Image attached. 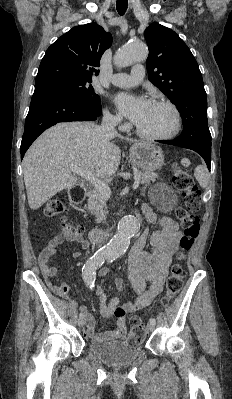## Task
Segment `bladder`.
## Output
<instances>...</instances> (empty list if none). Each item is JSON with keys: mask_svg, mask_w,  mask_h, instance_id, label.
I'll use <instances>...</instances> for the list:
<instances>
[{"mask_svg": "<svg viewBox=\"0 0 232 399\" xmlns=\"http://www.w3.org/2000/svg\"><path fill=\"white\" fill-rule=\"evenodd\" d=\"M88 351L96 358L110 365H124L134 361L142 352L141 346H130L121 340L88 344Z\"/></svg>", "mask_w": 232, "mask_h": 399, "instance_id": "obj_1", "label": "bladder"}]
</instances>
